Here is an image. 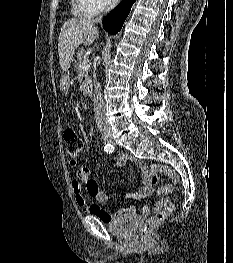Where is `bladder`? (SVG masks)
Listing matches in <instances>:
<instances>
[{
    "instance_id": "bladder-1",
    "label": "bladder",
    "mask_w": 233,
    "mask_h": 263,
    "mask_svg": "<svg viewBox=\"0 0 233 263\" xmlns=\"http://www.w3.org/2000/svg\"><path fill=\"white\" fill-rule=\"evenodd\" d=\"M139 223V217L131 212H123L115 220L108 222L109 231L121 238L131 237Z\"/></svg>"
}]
</instances>
